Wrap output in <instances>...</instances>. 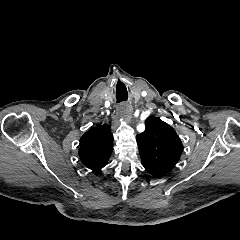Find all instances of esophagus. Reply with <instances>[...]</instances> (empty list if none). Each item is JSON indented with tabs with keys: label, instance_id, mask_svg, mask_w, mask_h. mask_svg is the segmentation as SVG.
I'll use <instances>...</instances> for the list:
<instances>
[{
	"label": "esophagus",
	"instance_id": "34e87169",
	"mask_svg": "<svg viewBox=\"0 0 240 240\" xmlns=\"http://www.w3.org/2000/svg\"><path fill=\"white\" fill-rule=\"evenodd\" d=\"M121 117H125L127 120H130L132 117V107L127 103H122L120 105Z\"/></svg>",
	"mask_w": 240,
	"mask_h": 240
}]
</instances>
